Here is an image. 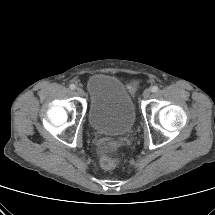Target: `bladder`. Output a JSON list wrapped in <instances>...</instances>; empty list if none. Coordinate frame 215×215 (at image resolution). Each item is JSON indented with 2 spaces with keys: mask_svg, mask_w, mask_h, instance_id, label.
<instances>
[{
  "mask_svg": "<svg viewBox=\"0 0 215 215\" xmlns=\"http://www.w3.org/2000/svg\"><path fill=\"white\" fill-rule=\"evenodd\" d=\"M87 92L88 120L95 131L106 135H124L132 129L136 108L120 80L107 74H94L88 79Z\"/></svg>",
  "mask_w": 215,
  "mask_h": 215,
  "instance_id": "31cf9c89",
  "label": "bladder"
}]
</instances>
